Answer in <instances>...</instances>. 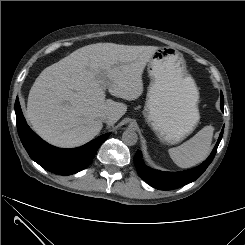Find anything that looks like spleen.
Wrapping results in <instances>:
<instances>
[{
	"label": "spleen",
	"instance_id": "1",
	"mask_svg": "<svg viewBox=\"0 0 245 245\" xmlns=\"http://www.w3.org/2000/svg\"><path fill=\"white\" fill-rule=\"evenodd\" d=\"M213 132V126H205L180 146L170 148L168 152L173 162L181 168L194 167L203 162L211 150Z\"/></svg>",
	"mask_w": 245,
	"mask_h": 245
}]
</instances>
